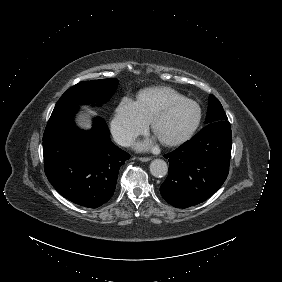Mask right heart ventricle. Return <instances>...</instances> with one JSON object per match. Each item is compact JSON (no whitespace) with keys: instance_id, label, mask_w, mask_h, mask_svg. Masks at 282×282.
<instances>
[{"instance_id":"right-heart-ventricle-1","label":"right heart ventricle","mask_w":282,"mask_h":282,"mask_svg":"<svg viewBox=\"0 0 282 282\" xmlns=\"http://www.w3.org/2000/svg\"><path fill=\"white\" fill-rule=\"evenodd\" d=\"M182 98L181 95L168 88H150L143 91L138 97V103L148 119L153 120L169 102Z\"/></svg>"}]
</instances>
